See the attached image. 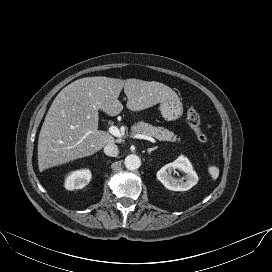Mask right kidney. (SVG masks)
I'll use <instances>...</instances> for the list:
<instances>
[{
    "mask_svg": "<svg viewBox=\"0 0 272 272\" xmlns=\"http://www.w3.org/2000/svg\"><path fill=\"white\" fill-rule=\"evenodd\" d=\"M91 176L89 169L73 171L65 179V188L67 190L82 189L89 184Z\"/></svg>",
    "mask_w": 272,
    "mask_h": 272,
    "instance_id": "1",
    "label": "right kidney"
}]
</instances>
